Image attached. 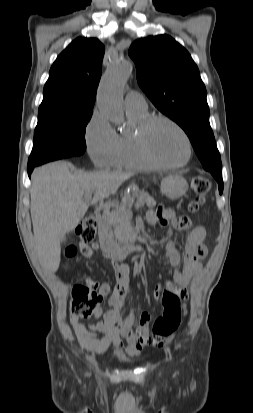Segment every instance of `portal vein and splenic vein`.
Segmentation results:
<instances>
[{"instance_id": "1", "label": "portal vein and splenic vein", "mask_w": 253, "mask_h": 413, "mask_svg": "<svg viewBox=\"0 0 253 413\" xmlns=\"http://www.w3.org/2000/svg\"><path fill=\"white\" fill-rule=\"evenodd\" d=\"M84 198H85V200H87V201L91 200V198H92L91 192H90V191H89V192H86L85 195H84Z\"/></svg>"}]
</instances>
